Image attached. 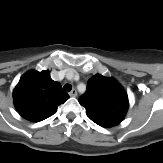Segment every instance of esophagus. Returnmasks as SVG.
Returning a JSON list of instances; mask_svg holds the SVG:
<instances>
[{
	"instance_id": "esophagus-1",
	"label": "esophagus",
	"mask_w": 163,
	"mask_h": 163,
	"mask_svg": "<svg viewBox=\"0 0 163 163\" xmlns=\"http://www.w3.org/2000/svg\"><path fill=\"white\" fill-rule=\"evenodd\" d=\"M69 95H70L71 97H76V96H77V91H76L75 89H73V90L69 93Z\"/></svg>"
}]
</instances>
